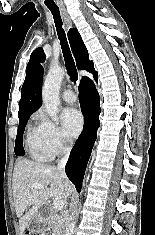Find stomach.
<instances>
[{
  "mask_svg": "<svg viewBox=\"0 0 155 235\" xmlns=\"http://www.w3.org/2000/svg\"><path fill=\"white\" fill-rule=\"evenodd\" d=\"M46 226V219L41 214H35L32 219L30 220L27 229L28 233L26 235H33L35 233L41 232Z\"/></svg>",
  "mask_w": 155,
  "mask_h": 235,
  "instance_id": "obj_1",
  "label": "stomach"
}]
</instances>
